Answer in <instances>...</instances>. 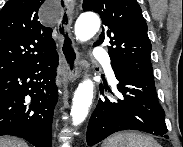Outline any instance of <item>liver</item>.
Instances as JSON below:
<instances>
[{"instance_id": "obj_1", "label": "liver", "mask_w": 183, "mask_h": 147, "mask_svg": "<svg viewBox=\"0 0 183 147\" xmlns=\"http://www.w3.org/2000/svg\"><path fill=\"white\" fill-rule=\"evenodd\" d=\"M0 147H28L27 144L21 140L11 137H0Z\"/></svg>"}]
</instances>
